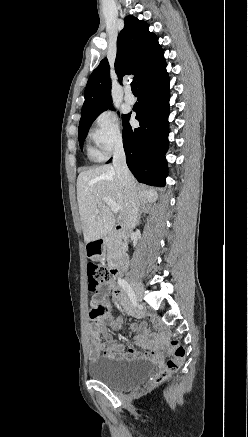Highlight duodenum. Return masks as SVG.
<instances>
[{
    "instance_id": "duodenum-1",
    "label": "duodenum",
    "mask_w": 248,
    "mask_h": 437,
    "mask_svg": "<svg viewBox=\"0 0 248 437\" xmlns=\"http://www.w3.org/2000/svg\"><path fill=\"white\" fill-rule=\"evenodd\" d=\"M123 231L121 224H116L113 227V233L119 234ZM105 247V238H96L88 246L86 250L87 257H97ZM126 264V258L124 256L117 257L111 265L113 275L118 276L123 271Z\"/></svg>"
}]
</instances>
